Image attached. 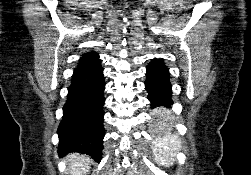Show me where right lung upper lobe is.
Listing matches in <instances>:
<instances>
[{
    "label": "right lung upper lobe",
    "instance_id": "obj_1",
    "mask_svg": "<svg viewBox=\"0 0 251 175\" xmlns=\"http://www.w3.org/2000/svg\"><path fill=\"white\" fill-rule=\"evenodd\" d=\"M98 57L97 53L95 52H88V53H85L82 58H81V62H84V61H89V60H92L93 58H96Z\"/></svg>",
    "mask_w": 251,
    "mask_h": 175
}]
</instances>
